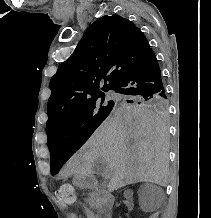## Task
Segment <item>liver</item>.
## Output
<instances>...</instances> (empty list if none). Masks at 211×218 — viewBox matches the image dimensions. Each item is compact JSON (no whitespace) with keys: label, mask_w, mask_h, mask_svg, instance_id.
I'll return each mask as SVG.
<instances>
[{"label":"liver","mask_w":211,"mask_h":218,"mask_svg":"<svg viewBox=\"0 0 211 218\" xmlns=\"http://www.w3.org/2000/svg\"><path fill=\"white\" fill-rule=\"evenodd\" d=\"M133 138L134 142H130ZM95 160L113 170L112 184L123 188L137 182L166 186L168 132L151 110L117 108L65 166L67 176L92 174Z\"/></svg>","instance_id":"6515ba94"}]
</instances>
